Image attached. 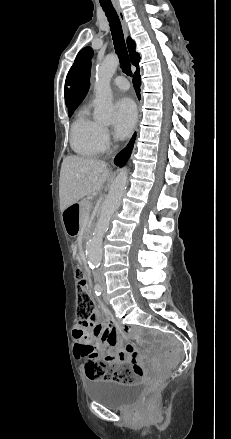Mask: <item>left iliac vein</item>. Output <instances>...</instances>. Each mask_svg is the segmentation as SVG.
<instances>
[{"label":"left iliac vein","instance_id":"1","mask_svg":"<svg viewBox=\"0 0 231 439\" xmlns=\"http://www.w3.org/2000/svg\"><path fill=\"white\" fill-rule=\"evenodd\" d=\"M101 285H102L103 290H104V293H103L104 301H105L106 303H108V299H107V297H106V283H105V281H102Z\"/></svg>","mask_w":231,"mask_h":439}]
</instances>
